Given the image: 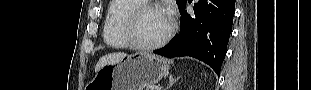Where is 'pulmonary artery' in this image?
<instances>
[{
	"label": "pulmonary artery",
	"mask_w": 311,
	"mask_h": 90,
	"mask_svg": "<svg viewBox=\"0 0 311 90\" xmlns=\"http://www.w3.org/2000/svg\"><path fill=\"white\" fill-rule=\"evenodd\" d=\"M141 2H144V3H147L148 1L147 0H140Z\"/></svg>",
	"instance_id": "obj_1"
}]
</instances>
